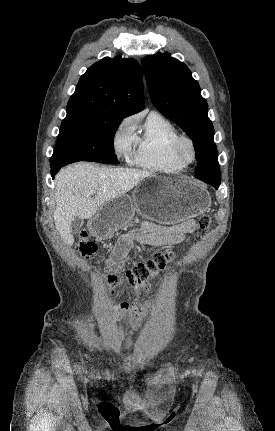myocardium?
Masks as SVG:
<instances>
[{"label": "myocardium", "instance_id": "1", "mask_svg": "<svg viewBox=\"0 0 275 431\" xmlns=\"http://www.w3.org/2000/svg\"><path fill=\"white\" fill-rule=\"evenodd\" d=\"M184 144H186L190 149L189 159H185L182 154V147ZM172 154L175 160L184 167L192 164L196 160L197 154L194 140L188 135L180 134L172 145Z\"/></svg>", "mask_w": 275, "mask_h": 431}]
</instances>
